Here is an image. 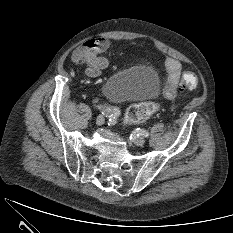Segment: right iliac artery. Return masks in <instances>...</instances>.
<instances>
[{"mask_svg":"<svg viewBox=\"0 0 233 233\" xmlns=\"http://www.w3.org/2000/svg\"><path fill=\"white\" fill-rule=\"evenodd\" d=\"M96 107L98 109H101L108 117H112L115 119L120 115V111L116 107L106 105H96Z\"/></svg>","mask_w":233,"mask_h":233,"instance_id":"82829eb1","label":"right iliac artery"}]
</instances>
